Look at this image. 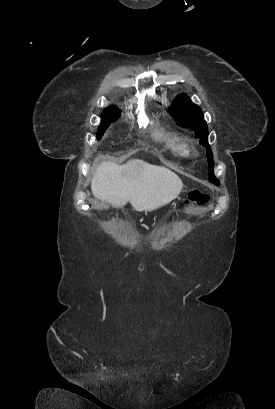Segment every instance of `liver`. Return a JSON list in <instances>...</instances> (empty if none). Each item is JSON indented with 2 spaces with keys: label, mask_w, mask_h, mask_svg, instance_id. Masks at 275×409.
Here are the masks:
<instances>
[{
  "label": "liver",
  "mask_w": 275,
  "mask_h": 409,
  "mask_svg": "<svg viewBox=\"0 0 275 409\" xmlns=\"http://www.w3.org/2000/svg\"><path fill=\"white\" fill-rule=\"evenodd\" d=\"M183 182L166 166L149 164L140 158L125 164L101 162L91 180V190L112 207H124L131 202L134 211H154L177 198Z\"/></svg>",
  "instance_id": "1"
}]
</instances>
